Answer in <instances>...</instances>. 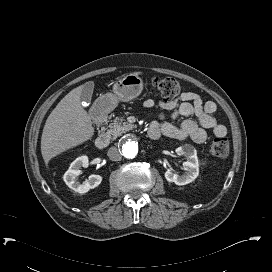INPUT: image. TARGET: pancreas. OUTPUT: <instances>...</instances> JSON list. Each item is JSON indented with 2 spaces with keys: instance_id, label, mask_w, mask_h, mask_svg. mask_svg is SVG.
I'll return each instance as SVG.
<instances>
[{
  "instance_id": "cf45deb5",
  "label": "pancreas",
  "mask_w": 272,
  "mask_h": 272,
  "mask_svg": "<svg viewBox=\"0 0 272 272\" xmlns=\"http://www.w3.org/2000/svg\"><path fill=\"white\" fill-rule=\"evenodd\" d=\"M134 128V125L124 122L122 118H115L113 123L110 125V129L107 131V134L116 139L118 136L123 133L130 131Z\"/></svg>"
}]
</instances>
